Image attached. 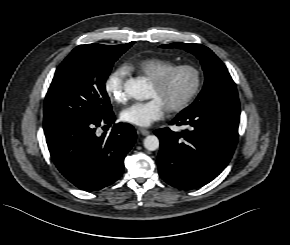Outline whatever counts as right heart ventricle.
Returning <instances> with one entry per match:
<instances>
[{
    "label": "right heart ventricle",
    "instance_id": "right-heart-ventricle-1",
    "mask_svg": "<svg viewBox=\"0 0 290 245\" xmlns=\"http://www.w3.org/2000/svg\"><path fill=\"white\" fill-rule=\"evenodd\" d=\"M175 63L160 58H145L130 61L126 64V69L144 75L150 80L156 79L166 70L174 66Z\"/></svg>",
    "mask_w": 290,
    "mask_h": 245
}]
</instances>
